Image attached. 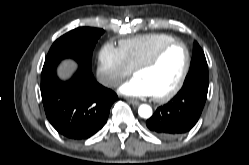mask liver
Segmentation results:
<instances>
[{
	"instance_id": "obj_1",
	"label": "liver",
	"mask_w": 249,
	"mask_h": 165,
	"mask_svg": "<svg viewBox=\"0 0 249 165\" xmlns=\"http://www.w3.org/2000/svg\"><path fill=\"white\" fill-rule=\"evenodd\" d=\"M76 68L77 64L74 61L67 59L62 61L59 65L57 74L62 80H67L72 76Z\"/></svg>"
}]
</instances>
